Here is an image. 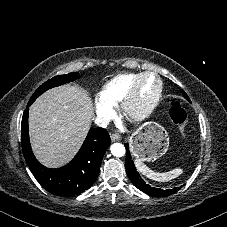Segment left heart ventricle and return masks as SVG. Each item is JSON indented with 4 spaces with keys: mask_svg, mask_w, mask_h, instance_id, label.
<instances>
[{
    "mask_svg": "<svg viewBox=\"0 0 227 227\" xmlns=\"http://www.w3.org/2000/svg\"><path fill=\"white\" fill-rule=\"evenodd\" d=\"M156 90V82L152 78H146L140 87L139 100L140 103H145L148 101L154 94Z\"/></svg>",
    "mask_w": 227,
    "mask_h": 227,
    "instance_id": "left-heart-ventricle-1",
    "label": "left heart ventricle"
}]
</instances>
